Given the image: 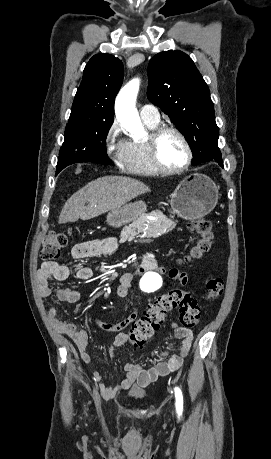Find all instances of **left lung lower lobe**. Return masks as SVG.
I'll use <instances>...</instances> for the list:
<instances>
[{"instance_id": "left-lung-lower-lobe-1", "label": "left lung lower lobe", "mask_w": 271, "mask_h": 459, "mask_svg": "<svg viewBox=\"0 0 271 459\" xmlns=\"http://www.w3.org/2000/svg\"><path fill=\"white\" fill-rule=\"evenodd\" d=\"M213 161L217 162L221 167H223L222 158H217V159H214Z\"/></svg>"}]
</instances>
